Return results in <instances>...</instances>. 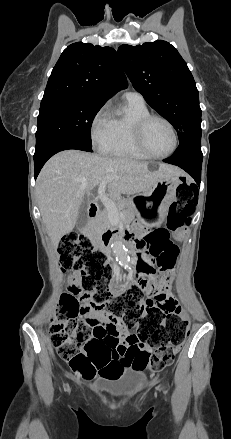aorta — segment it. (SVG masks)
Segmentation results:
<instances>
[{
	"instance_id": "762f6f07",
	"label": "aorta",
	"mask_w": 231,
	"mask_h": 439,
	"mask_svg": "<svg viewBox=\"0 0 231 439\" xmlns=\"http://www.w3.org/2000/svg\"><path fill=\"white\" fill-rule=\"evenodd\" d=\"M113 253L115 257L118 259L119 263L124 266V268H129V256L128 253L120 241H116L112 245Z\"/></svg>"
}]
</instances>
